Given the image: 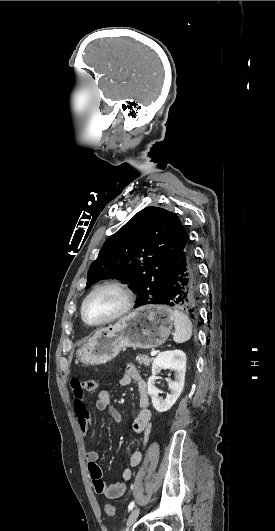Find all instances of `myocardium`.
Segmentation results:
<instances>
[{"mask_svg": "<svg viewBox=\"0 0 275 531\" xmlns=\"http://www.w3.org/2000/svg\"><path fill=\"white\" fill-rule=\"evenodd\" d=\"M109 289L115 290V291L120 293V295L122 297V302H123L121 308L117 312L112 314L111 316L107 317L106 319H103V320L97 321V322H89L84 316L85 303L92 296H94L95 294H97V293H99L101 291H104V290H109ZM133 302H134V296H133L132 290L130 289V287L126 283H124L122 281H119V280L106 281V282L96 286L95 288H93L83 298V300L81 302V305H80L81 319L83 320V322H85L87 325H90V326L106 325V324L111 323L113 321H116L119 318H121L124 315H126L130 311L131 307L133 306Z\"/></svg>", "mask_w": 275, "mask_h": 531, "instance_id": "obj_1", "label": "myocardium"}]
</instances>
